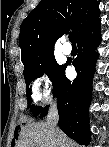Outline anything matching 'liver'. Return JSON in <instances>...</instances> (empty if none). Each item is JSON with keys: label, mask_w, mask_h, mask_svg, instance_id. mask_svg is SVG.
Returning <instances> with one entry per match:
<instances>
[{"label": "liver", "mask_w": 109, "mask_h": 147, "mask_svg": "<svg viewBox=\"0 0 109 147\" xmlns=\"http://www.w3.org/2000/svg\"><path fill=\"white\" fill-rule=\"evenodd\" d=\"M16 147H76L59 128L52 132L47 123H28L23 126Z\"/></svg>", "instance_id": "1"}]
</instances>
